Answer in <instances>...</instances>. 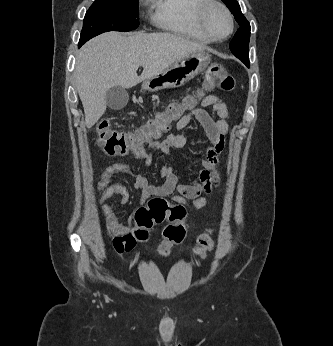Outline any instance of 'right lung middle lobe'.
<instances>
[{"mask_svg": "<svg viewBox=\"0 0 333 346\" xmlns=\"http://www.w3.org/2000/svg\"><path fill=\"white\" fill-rule=\"evenodd\" d=\"M138 16V0H95L86 12L79 47L103 32L136 29Z\"/></svg>", "mask_w": 333, "mask_h": 346, "instance_id": "obj_1", "label": "right lung middle lobe"}]
</instances>
